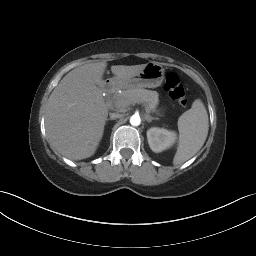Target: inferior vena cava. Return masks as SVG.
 Segmentation results:
<instances>
[{
    "instance_id": "obj_1",
    "label": "inferior vena cava",
    "mask_w": 256,
    "mask_h": 256,
    "mask_svg": "<svg viewBox=\"0 0 256 256\" xmlns=\"http://www.w3.org/2000/svg\"><path fill=\"white\" fill-rule=\"evenodd\" d=\"M110 118L111 119H118L122 117V114L118 113V112H114V113H110Z\"/></svg>"
}]
</instances>
